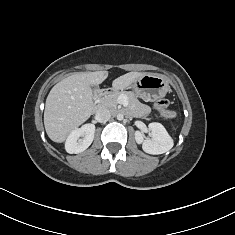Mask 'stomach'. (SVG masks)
I'll list each match as a JSON object with an SVG mask.
<instances>
[{
    "mask_svg": "<svg viewBox=\"0 0 235 235\" xmlns=\"http://www.w3.org/2000/svg\"><path fill=\"white\" fill-rule=\"evenodd\" d=\"M135 96L144 101H155L166 95L169 90L168 80L159 74H145L133 84Z\"/></svg>",
    "mask_w": 235,
    "mask_h": 235,
    "instance_id": "1",
    "label": "stomach"
}]
</instances>
